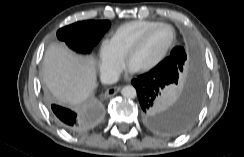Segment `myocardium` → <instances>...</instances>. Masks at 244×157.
<instances>
[{
	"mask_svg": "<svg viewBox=\"0 0 244 157\" xmlns=\"http://www.w3.org/2000/svg\"><path fill=\"white\" fill-rule=\"evenodd\" d=\"M160 27H167L172 30V32H173L172 40L169 43V45L164 49V51L153 62H151L150 64H148L140 69H137V71L140 73H145V72L151 71L156 66H158L165 59V57L168 55V53L171 51V49L174 47V45L176 43V39H177V33H176V29L174 28V26L169 23L160 22V23L148 28L139 36V38L129 47V49L125 53V61L127 64H129L130 58L137 50H139L141 48V46L144 44V42L147 39V37L149 36V34L151 32H153L155 29L160 28Z\"/></svg>",
	"mask_w": 244,
	"mask_h": 157,
	"instance_id": "obj_1",
	"label": "myocardium"
}]
</instances>
